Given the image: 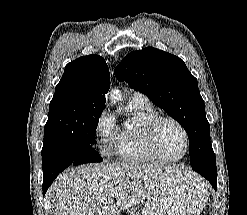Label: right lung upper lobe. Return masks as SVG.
I'll list each match as a JSON object with an SVG mask.
<instances>
[{
  "instance_id": "right-lung-upper-lobe-1",
  "label": "right lung upper lobe",
  "mask_w": 247,
  "mask_h": 215,
  "mask_svg": "<svg viewBox=\"0 0 247 215\" xmlns=\"http://www.w3.org/2000/svg\"><path fill=\"white\" fill-rule=\"evenodd\" d=\"M110 86V74L105 60L97 55L80 57L65 67L55 92L69 90L74 95L105 104Z\"/></svg>"
}]
</instances>
